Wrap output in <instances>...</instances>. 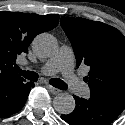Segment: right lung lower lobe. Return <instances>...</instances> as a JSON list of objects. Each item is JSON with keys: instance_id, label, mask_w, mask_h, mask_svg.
<instances>
[{"instance_id": "98d812e1", "label": "right lung lower lobe", "mask_w": 125, "mask_h": 125, "mask_svg": "<svg viewBox=\"0 0 125 125\" xmlns=\"http://www.w3.org/2000/svg\"><path fill=\"white\" fill-rule=\"evenodd\" d=\"M34 83L23 79L11 80L0 84V117L12 115L24 106Z\"/></svg>"}]
</instances>
